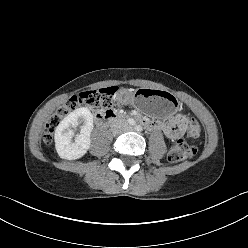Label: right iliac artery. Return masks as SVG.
Segmentation results:
<instances>
[{
  "mask_svg": "<svg viewBox=\"0 0 248 248\" xmlns=\"http://www.w3.org/2000/svg\"><path fill=\"white\" fill-rule=\"evenodd\" d=\"M128 123L131 125H135V121L133 119H128Z\"/></svg>",
  "mask_w": 248,
  "mask_h": 248,
  "instance_id": "obj_1",
  "label": "right iliac artery"
}]
</instances>
